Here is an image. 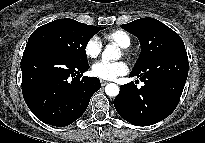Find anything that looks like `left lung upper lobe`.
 Masks as SVG:
<instances>
[{
	"label": "left lung upper lobe",
	"mask_w": 205,
	"mask_h": 143,
	"mask_svg": "<svg viewBox=\"0 0 205 143\" xmlns=\"http://www.w3.org/2000/svg\"><path fill=\"white\" fill-rule=\"evenodd\" d=\"M122 27L138 37L141 54L132 72L149 69L152 63L166 52L185 47L181 37L171 28L154 18H141Z\"/></svg>",
	"instance_id": "1"
}]
</instances>
